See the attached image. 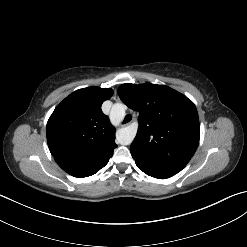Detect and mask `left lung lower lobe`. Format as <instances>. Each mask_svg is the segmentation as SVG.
<instances>
[{
	"label": "left lung lower lobe",
	"mask_w": 247,
	"mask_h": 247,
	"mask_svg": "<svg viewBox=\"0 0 247 247\" xmlns=\"http://www.w3.org/2000/svg\"><path fill=\"white\" fill-rule=\"evenodd\" d=\"M136 165L138 166L139 169H141L145 174L151 176V177H155V178H159V179H165V178H169L173 175H175V173L172 172H168V171H164L161 170L158 166H156L155 164L143 159V158H138L134 155H132Z\"/></svg>",
	"instance_id": "obj_1"
}]
</instances>
